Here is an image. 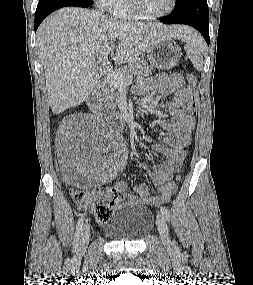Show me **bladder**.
I'll return each instance as SVG.
<instances>
[{
	"label": "bladder",
	"mask_w": 253,
	"mask_h": 285,
	"mask_svg": "<svg viewBox=\"0 0 253 285\" xmlns=\"http://www.w3.org/2000/svg\"><path fill=\"white\" fill-rule=\"evenodd\" d=\"M153 224L154 216L148 207L125 203L117 208L103 230L112 240L132 242L143 239Z\"/></svg>",
	"instance_id": "bladder-1"
}]
</instances>
